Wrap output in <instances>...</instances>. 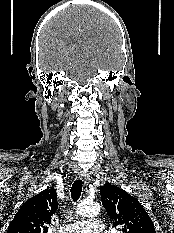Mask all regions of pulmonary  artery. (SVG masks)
I'll list each match as a JSON object with an SVG mask.
<instances>
[{
  "label": "pulmonary artery",
  "mask_w": 174,
  "mask_h": 233,
  "mask_svg": "<svg viewBox=\"0 0 174 233\" xmlns=\"http://www.w3.org/2000/svg\"><path fill=\"white\" fill-rule=\"evenodd\" d=\"M104 228L103 221L93 218L67 224L61 227L59 233H103Z\"/></svg>",
  "instance_id": "e3ab8cb5"
}]
</instances>
